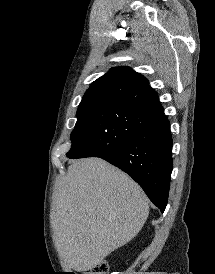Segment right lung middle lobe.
Segmentation results:
<instances>
[{
    "instance_id": "obj_1",
    "label": "right lung middle lobe",
    "mask_w": 215,
    "mask_h": 274,
    "mask_svg": "<svg viewBox=\"0 0 215 274\" xmlns=\"http://www.w3.org/2000/svg\"><path fill=\"white\" fill-rule=\"evenodd\" d=\"M158 117L117 101L80 103L71 133V159L102 157L116 151Z\"/></svg>"
}]
</instances>
